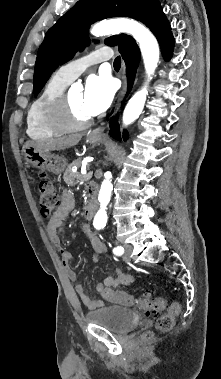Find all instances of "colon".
<instances>
[{"instance_id":"5ec220e1","label":"colon","mask_w":221,"mask_h":379,"mask_svg":"<svg viewBox=\"0 0 221 379\" xmlns=\"http://www.w3.org/2000/svg\"><path fill=\"white\" fill-rule=\"evenodd\" d=\"M39 206L41 215L44 218L52 217L59 207V196L52 180L44 173H40L39 182ZM101 295L110 302L133 307L143 311L148 316H158L165 308V301L162 298L152 297L149 293H144L140 297L132 296L124 291L113 290L109 287L100 286ZM180 312V304L172 302L165 313L158 316L156 329L166 332L172 329L174 319ZM152 337L150 332L144 334V338Z\"/></svg>"}]
</instances>
